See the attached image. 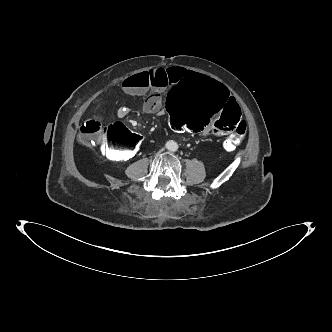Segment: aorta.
<instances>
[{
  "instance_id": "obj_1",
  "label": "aorta",
  "mask_w": 332,
  "mask_h": 332,
  "mask_svg": "<svg viewBox=\"0 0 332 332\" xmlns=\"http://www.w3.org/2000/svg\"><path fill=\"white\" fill-rule=\"evenodd\" d=\"M168 143L170 144V147H169L170 150L175 151L177 149L178 146H177L176 142L169 141Z\"/></svg>"
}]
</instances>
